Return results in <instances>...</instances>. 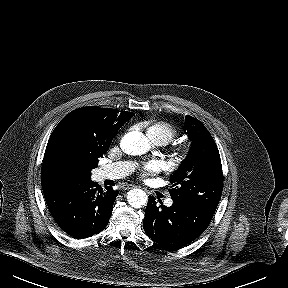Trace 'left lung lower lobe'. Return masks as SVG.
Returning <instances> with one entry per match:
<instances>
[{
    "label": "left lung lower lobe",
    "instance_id": "left-lung-lower-lobe-1",
    "mask_svg": "<svg viewBox=\"0 0 288 288\" xmlns=\"http://www.w3.org/2000/svg\"><path fill=\"white\" fill-rule=\"evenodd\" d=\"M174 201V200H173ZM214 212L201 206L174 201L166 207L149 196L143 227L146 234L167 249H179L198 238L208 227Z\"/></svg>",
    "mask_w": 288,
    "mask_h": 288
}]
</instances>
